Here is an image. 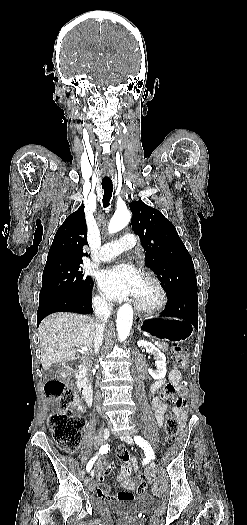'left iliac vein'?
<instances>
[{
	"label": "left iliac vein",
	"instance_id": "4c4485c4",
	"mask_svg": "<svg viewBox=\"0 0 247 525\" xmlns=\"http://www.w3.org/2000/svg\"><path fill=\"white\" fill-rule=\"evenodd\" d=\"M120 438H121L123 441H125L126 443H128V444H131V445L134 444L133 439H132L129 435H121ZM155 467H156L155 462H154V461H151V462H150V468H151L152 470H154Z\"/></svg>",
	"mask_w": 247,
	"mask_h": 525
}]
</instances>
